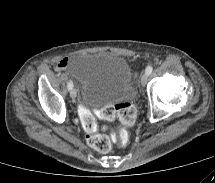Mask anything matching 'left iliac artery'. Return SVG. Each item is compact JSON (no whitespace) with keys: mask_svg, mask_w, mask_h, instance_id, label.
<instances>
[{"mask_svg":"<svg viewBox=\"0 0 215 183\" xmlns=\"http://www.w3.org/2000/svg\"><path fill=\"white\" fill-rule=\"evenodd\" d=\"M152 71H153V67H152V66H148V67L146 68V73L151 74Z\"/></svg>","mask_w":215,"mask_h":183,"instance_id":"left-iliac-artery-1","label":"left iliac artery"}]
</instances>
